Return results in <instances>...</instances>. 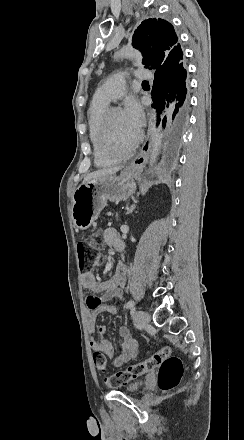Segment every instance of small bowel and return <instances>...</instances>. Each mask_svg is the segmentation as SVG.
Returning <instances> with one entry per match:
<instances>
[{
	"label": "small bowel",
	"mask_w": 244,
	"mask_h": 440,
	"mask_svg": "<svg viewBox=\"0 0 244 440\" xmlns=\"http://www.w3.org/2000/svg\"><path fill=\"white\" fill-rule=\"evenodd\" d=\"M104 241L111 248L118 247L120 244L118 231L115 228L105 229ZM81 279L83 287L92 292L87 298L89 309L87 329L90 336V347L92 350L103 352L111 358L115 367H121L137 355L136 343L131 337L129 327L122 325L118 329V336L124 335L127 345L120 348V353L116 354L114 345L103 338L106 327L104 325L96 327V319L101 313H116L118 311V302L123 296V288L126 282V268L122 263H118L113 276L106 281L98 280L92 273H83ZM96 331L101 337L99 340L95 338Z\"/></svg>",
	"instance_id": "small-bowel-1"
}]
</instances>
